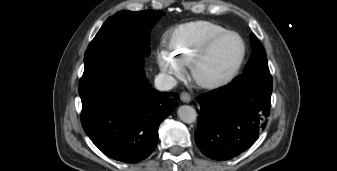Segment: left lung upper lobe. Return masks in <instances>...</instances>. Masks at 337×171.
Segmentation results:
<instances>
[{"mask_svg": "<svg viewBox=\"0 0 337 171\" xmlns=\"http://www.w3.org/2000/svg\"><path fill=\"white\" fill-rule=\"evenodd\" d=\"M252 55L248 61L243 74L239 75L234 81L244 79H262L272 81V77L268 68L267 56L264 48L255 35H251Z\"/></svg>", "mask_w": 337, "mask_h": 171, "instance_id": "obj_1", "label": "left lung upper lobe"}]
</instances>
